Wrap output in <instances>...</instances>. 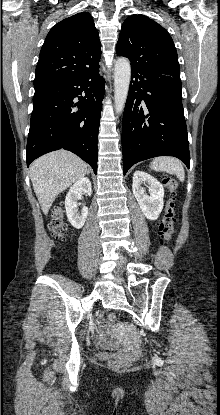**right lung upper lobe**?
Listing matches in <instances>:
<instances>
[{
	"label": "right lung upper lobe",
	"mask_w": 220,
	"mask_h": 415,
	"mask_svg": "<svg viewBox=\"0 0 220 415\" xmlns=\"http://www.w3.org/2000/svg\"><path fill=\"white\" fill-rule=\"evenodd\" d=\"M101 43L92 16L81 12L57 23L47 34L34 85L62 84L99 69Z\"/></svg>",
	"instance_id": "obj_1"
}]
</instances>
